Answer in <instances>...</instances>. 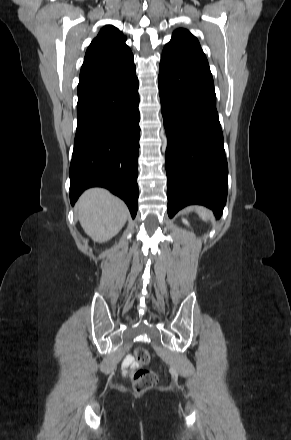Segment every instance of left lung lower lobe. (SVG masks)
Instances as JSON below:
<instances>
[{"mask_svg":"<svg viewBox=\"0 0 291 440\" xmlns=\"http://www.w3.org/2000/svg\"><path fill=\"white\" fill-rule=\"evenodd\" d=\"M158 86L168 136V215L202 204L220 218L228 166L210 69L161 56Z\"/></svg>","mask_w":291,"mask_h":440,"instance_id":"0a47b994","label":"left lung lower lobe"}]
</instances>
